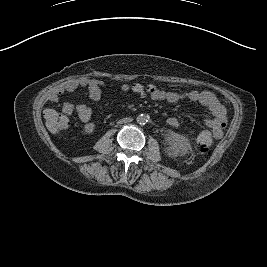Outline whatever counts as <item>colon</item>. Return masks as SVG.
Returning a JSON list of instances; mask_svg holds the SVG:
<instances>
[{"label": "colon", "instance_id": "colon-1", "mask_svg": "<svg viewBox=\"0 0 267 267\" xmlns=\"http://www.w3.org/2000/svg\"><path fill=\"white\" fill-rule=\"evenodd\" d=\"M135 88L138 91H143L148 95H153L158 92V90L154 86H136ZM45 119L49 130L57 134L66 131L70 125V122L66 116L56 112L53 109H47L45 111ZM196 148L199 153L205 154L210 150L211 143L206 136L199 134L196 138Z\"/></svg>", "mask_w": 267, "mask_h": 267}]
</instances>
